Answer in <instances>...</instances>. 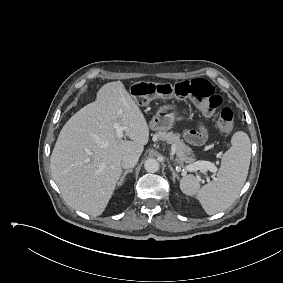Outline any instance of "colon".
<instances>
[{"label": "colon", "mask_w": 283, "mask_h": 283, "mask_svg": "<svg viewBox=\"0 0 283 283\" xmlns=\"http://www.w3.org/2000/svg\"><path fill=\"white\" fill-rule=\"evenodd\" d=\"M135 101L145 106L157 97L189 98L195 101L202 112L213 116L215 126L221 133H227L233 125V113L228 107H222V99L214 86L205 79L196 78L175 84L142 81L131 88Z\"/></svg>", "instance_id": "5ec220e1"}]
</instances>
